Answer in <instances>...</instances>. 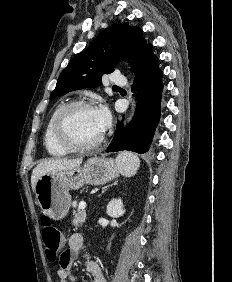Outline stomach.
I'll list each match as a JSON object with an SVG mask.
<instances>
[{"label": "stomach", "mask_w": 232, "mask_h": 282, "mask_svg": "<svg viewBox=\"0 0 232 282\" xmlns=\"http://www.w3.org/2000/svg\"><path fill=\"white\" fill-rule=\"evenodd\" d=\"M119 172L113 159L95 156L82 166L44 174L35 186L37 202L45 215L60 220L67 215L71 206L69 190H77L85 184L107 183Z\"/></svg>", "instance_id": "stomach-1"}]
</instances>
